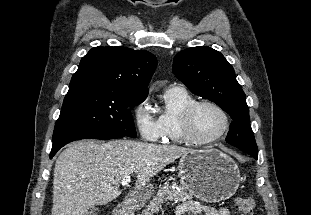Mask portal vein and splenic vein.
Here are the masks:
<instances>
[{"label":"portal vein and splenic vein","mask_w":311,"mask_h":215,"mask_svg":"<svg viewBox=\"0 0 311 215\" xmlns=\"http://www.w3.org/2000/svg\"><path fill=\"white\" fill-rule=\"evenodd\" d=\"M130 181H131L130 175H126V176H124V178L122 179L121 184H122V186L125 187V186L129 185Z\"/></svg>","instance_id":"18ae733b"}]
</instances>
